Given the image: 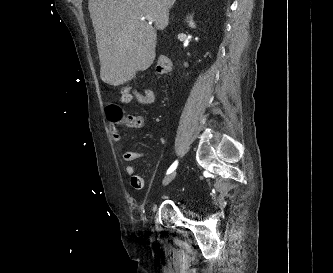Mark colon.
Masks as SVG:
<instances>
[{"mask_svg":"<svg viewBox=\"0 0 333 273\" xmlns=\"http://www.w3.org/2000/svg\"><path fill=\"white\" fill-rule=\"evenodd\" d=\"M170 71H171V61L169 60V58L163 55L159 56L157 58V63H156V72L158 73V75L164 76L169 74ZM131 92H134V90L130 87H126L123 89V94ZM107 113L109 118L113 122H119L122 120L121 110L116 105H110L107 109Z\"/></svg>","mask_w":333,"mask_h":273,"instance_id":"obj_1","label":"colon"}]
</instances>
